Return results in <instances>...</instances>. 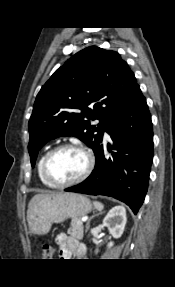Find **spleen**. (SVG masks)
<instances>
[{"label": "spleen", "instance_id": "spleen-1", "mask_svg": "<svg viewBox=\"0 0 175 287\" xmlns=\"http://www.w3.org/2000/svg\"><path fill=\"white\" fill-rule=\"evenodd\" d=\"M94 207L97 209V210H102L103 209V204L98 202V201H94Z\"/></svg>", "mask_w": 175, "mask_h": 287}]
</instances>
